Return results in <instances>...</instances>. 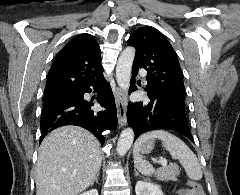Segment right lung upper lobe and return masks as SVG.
I'll return each instance as SVG.
<instances>
[{
	"label": "right lung upper lobe",
	"instance_id": "right-lung-upper-lobe-1",
	"mask_svg": "<svg viewBox=\"0 0 240 195\" xmlns=\"http://www.w3.org/2000/svg\"><path fill=\"white\" fill-rule=\"evenodd\" d=\"M100 47L92 35L83 33L57 54L48 73L44 95L77 90L101 80L103 67Z\"/></svg>",
	"mask_w": 240,
	"mask_h": 195
}]
</instances>
